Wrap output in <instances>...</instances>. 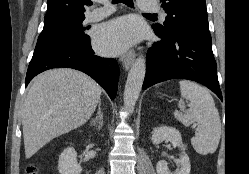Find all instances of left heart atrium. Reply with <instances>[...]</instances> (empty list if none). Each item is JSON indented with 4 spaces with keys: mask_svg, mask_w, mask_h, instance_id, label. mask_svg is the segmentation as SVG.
<instances>
[{
    "mask_svg": "<svg viewBox=\"0 0 249 174\" xmlns=\"http://www.w3.org/2000/svg\"><path fill=\"white\" fill-rule=\"evenodd\" d=\"M143 36L139 20L127 16L112 20L102 26L95 37L97 50L105 55H117L138 42Z\"/></svg>",
    "mask_w": 249,
    "mask_h": 174,
    "instance_id": "left-heart-atrium-1",
    "label": "left heart atrium"
}]
</instances>
